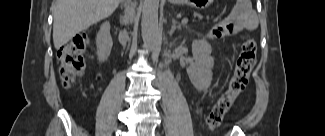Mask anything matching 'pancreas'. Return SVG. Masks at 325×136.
<instances>
[{"mask_svg":"<svg viewBox=\"0 0 325 136\" xmlns=\"http://www.w3.org/2000/svg\"><path fill=\"white\" fill-rule=\"evenodd\" d=\"M194 18L192 19V22L194 24H207L208 18L206 17V12H194Z\"/></svg>","mask_w":325,"mask_h":136,"instance_id":"cf45deb5","label":"pancreas"}]
</instances>
